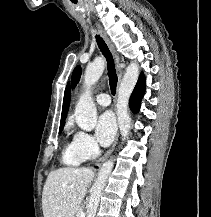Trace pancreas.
Instances as JSON below:
<instances>
[{
	"instance_id": "obj_1",
	"label": "pancreas",
	"mask_w": 211,
	"mask_h": 217,
	"mask_svg": "<svg viewBox=\"0 0 211 217\" xmlns=\"http://www.w3.org/2000/svg\"><path fill=\"white\" fill-rule=\"evenodd\" d=\"M79 213H80V212H78V214H77V216H76V217H79Z\"/></svg>"
}]
</instances>
